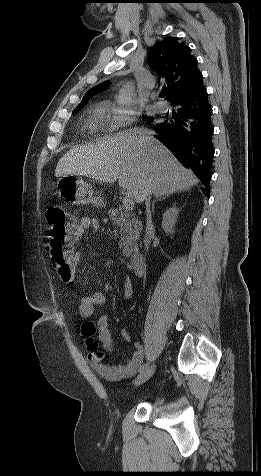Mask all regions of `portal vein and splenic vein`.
<instances>
[{
  "label": "portal vein and splenic vein",
  "mask_w": 261,
  "mask_h": 476,
  "mask_svg": "<svg viewBox=\"0 0 261 476\" xmlns=\"http://www.w3.org/2000/svg\"><path fill=\"white\" fill-rule=\"evenodd\" d=\"M122 207L125 211L133 210L134 200L131 195L126 194V196L122 200Z\"/></svg>",
  "instance_id": "1"
}]
</instances>
